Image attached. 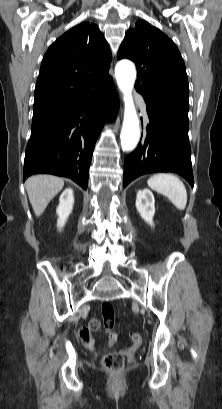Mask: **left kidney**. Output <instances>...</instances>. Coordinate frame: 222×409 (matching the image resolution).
Returning a JSON list of instances; mask_svg holds the SVG:
<instances>
[{"mask_svg": "<svg viewBox=\"0 0 222 409\" xmlns=\"http://www.w3.org/2000/svg\"><path fill=\"white\" fill-rule=\"evenodd\" d=\"M155 200L152 192L148 189L139 190L136 197V208L142 219L153 226L155 214Z\"/></svg>", "mask_w": 222, "mask_h": 409, "instance_id": "1", "label": "left kidney"}]
</instances>
